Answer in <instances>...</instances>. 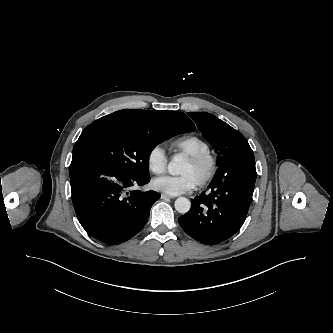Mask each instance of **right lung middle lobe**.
I'll return each mask as SVG.
<instances>
[{
    "instance_id": "dd1d6c3e",
    "label": "right lung middle lobe",
    "mask_w": 333,
    "mask_h": 333,
    "mask_svg": "<svg viewBox=\"0 0 333 333\" xmlns=\"http://www.w3.org/2000/svg\"><path fill=\"white\" fill-rule=\"evenodd\" d=\"M175 130L146 131L120 123H91L81 133L73 153L99 157L118 171L148 176L149 155L160 142L179 134Z\"/></svg>"
}]
</instances>
